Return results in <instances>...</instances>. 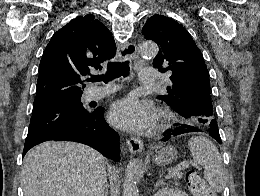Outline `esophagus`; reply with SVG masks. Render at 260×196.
I'll list each match as a JSON object with an SVG mask.
<instances>
[{
  "label": "esophagus",
  "mask_w": 260,
  "mask_h": 196,
  "mask_svg": "<svg viewBox=\"0 0 260 196\" xmlns=\"http://www.w3.org/2000/svg\"><path fill=\"white\" fill-rule=\"evenodd\" d=\"M136 50L137 48L135 43H126L120 47L119 56L122 60L130 59L133 55H135ZM127 145L130 153L132 154H139L144 149L143 141L138 138H128Z\"/></svg>",
  "instance_id": "34e87169"
}]
</instances>
